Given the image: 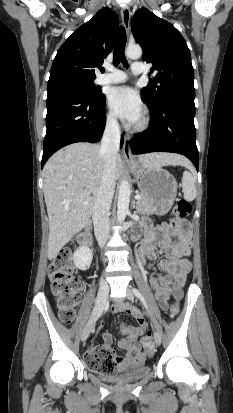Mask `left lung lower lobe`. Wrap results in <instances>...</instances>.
Masks as SVG:
<instances>
[{
  "mask_svg": "<svg viewBox=\"0 0 233 413\" xmlns=\"http://www.w3.org/2000/svg\"><path fill=\"white\" fill-rule=\"evenodd\" d=\"M153 124L129 141L133 154L173 152L186 156L199 169V154L194 126L195 105L181 100L148 106Z\"/></svg>",
  "mask_w": 233,
  "mask_h": 413,
  "instance_id": "0a47b994",
  "label": "left lung lower lobe"
}]
</instances>
